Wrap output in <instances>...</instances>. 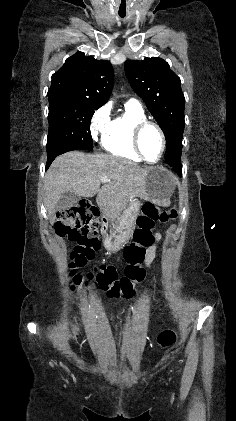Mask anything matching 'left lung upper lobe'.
<instances>
[{
    "instance_id": "obj_1",
    "label": "left lung upper lobe",
    "mask_w": 236,
    "mask_h": 421,
    "mask_svg": "<svg viewBox=\"0 0 236 421\" xmlns=\"http://www.w3.org/2000/svg\"><path fill=\"white\" fill-rule=\"evenodd\" d=\"M124 66L133 90L144 100L165 134L166 163L181 164L185 98L180 78L158 57L127 60Z\"/></svg>"
}]
</instances>
